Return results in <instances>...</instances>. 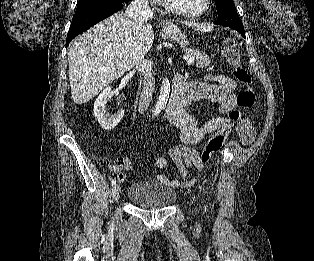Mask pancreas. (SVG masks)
Masks as SVG:
<instances>
[{"mask_svg": "<svg viewBox=\"0 0 314 261\" xmlns=\"http://www.w3.org/2000/svg\"><path fill=\"white\" fill-rule=\"evenodd\" d=\"M184 52L185 56L194 57L196 59V66L201 69L209 67L214 58V56L210 58L205 53L190 48L185 49Z\"/></svg>", "mask_w": 314, "mask_h": 261, "instance_id": "1", "label": "pancreas"}]
</instances>
